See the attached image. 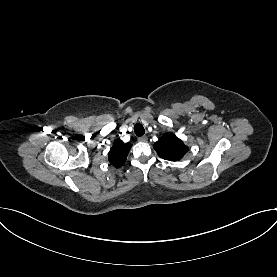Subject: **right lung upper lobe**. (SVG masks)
<instances>
[{"label": "right lung upper lobe", "mask_w": 277, "mask_h": 277, "mask_svg": "<svg viewBox=\"0 0 277 277\" xmlns=\"http://www.w3.org/2000/svg\"><path fill=\"white\" fill-rule=\"evenodd\" d=\"M130 143H123L116 140L109 152V162L116 168L121 167L126 161L127 155L131 149Z\"/></svg>", "instance_id": "1"}]
</instances>
